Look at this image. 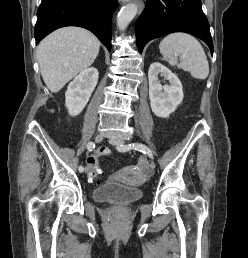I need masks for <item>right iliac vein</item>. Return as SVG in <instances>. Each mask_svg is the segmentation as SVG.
Listing matches in <instances>:
<instances>
[{"mask_svg":"<svg viewBox=\"0 0 248 258\" xmlns=\"http://www.w3.org/2000/svg\"><path fill=\"white\" fill-rule=\"evenodd\" d=\"M103 138H104V135H103V134H98V135H96V137H95V141H96L97 143H100V142H102ZM88 172H89V169H88V167H86V168H85V173H88Z\"/></svg>","mask_w":248,"mask_h":258,"instance_id":"1","label":"right iliac vein"}]
</instances>
